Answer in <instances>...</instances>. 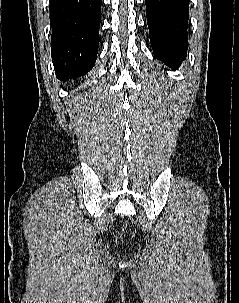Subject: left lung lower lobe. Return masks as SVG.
Instances as JSON below:
<instances>
[{
    "instance_id": "0a47b994",
    "label": "left lung lower lobe",
    "mask_w": 239,
    "mask_h": 303,
    "mask_svg": "<svg viewBox=\"0 0 239 303\" xmlns=\"http://www.w3.org/2000/svg\"><path fill=\"white\" fill-rule=\"evenodd\" d=\"M150 42L154 56L178 69L188 47V0H145Z\"/></svg>"
}]
</instances>
